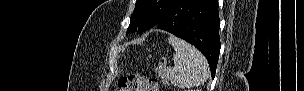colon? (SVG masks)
<instances>
[{"label":"colon","mask_w":304,"mask_h":91,"mask_svg":"<svg viewBox=\"0 0 304 91\" xmlns=\"http://www.w3.org/2000/svg\"><path fill=\"white\" fill-rule=\"evenodd\" d=\"M120 91H159V83L155 78L140 75L122 77L118 82Z\"/></svg>","instance_id":"obj_1"}]
</instances>
